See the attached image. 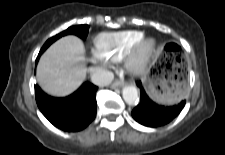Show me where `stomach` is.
Returning a JSON list of instances; mask_svg holds the SVG:
<instances>
[{"label": "stomach", "instance_id": "obj_1", "mask_svg": "<svg viewBox=\"0 0 225 155\" xmlns=\"http://www.w3.org/2000/svg\"><path fill=\"white\" fill-rule=\"evenodd\" d=\"M142 81L149 95L159 103H176L186 93L182 73L175 68L161 66L158 59L154 60Z\"/></svg>", "mask_w": 225, "mask_h": 155}]
</instances>
